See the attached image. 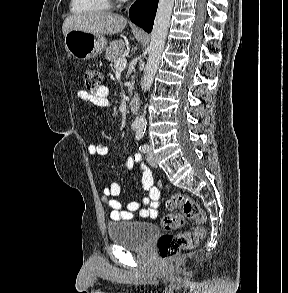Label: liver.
<instances>
[{
    "label": "liver",
    "mask_w": 288,
    "mask_h": 293,
    "mask_svg": "<svg viewBox=\"0 0 288 293\" xmlns=\"http://www.w3.org/2000/svg\"><path fill=\"white\" fill-rule=\"evenodd\" d=\"M127 20L110 12H91L84 14L69 15L63 23L64 36L71 29H78L98 35H112L123 31Z\"/></svg>",
    "instance_id": "1"
}]
</instances>
